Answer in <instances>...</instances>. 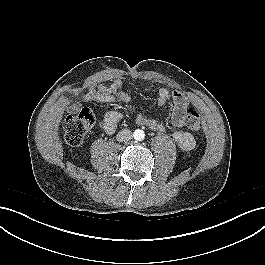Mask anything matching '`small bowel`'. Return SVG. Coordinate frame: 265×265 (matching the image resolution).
Masks as SVG:
<instances>
[{
	"mask_svg": "<svg viewBox=\"0 0 265 265\" xmlns=\"http://www.w3.org/2000/svg\"><path fill=\"white\" fill-rule=\"evenodd\" d=\"M84 102H97V103H129L130 96L123 90V82L120 79H115L110 85L93 84L81 96ZM158 104L162 107L167 104L172 105V112L170 117L171 124L178 128L172 137L177 146L183 151H191L195 146L194 137L181 128L185 124V117L190 105V98L177 90L170 91L167 88H160L158 91ZM77 105L70 106L71 111L77 109ZM121 119V114L117 111L107 113L101 123L102 130L111 134L115 131L118 122ZM136 123L147 127L154 131H164L165 124L162 121L150 118L145 115H138Z\"/></svg>",
	"mask_w": 265,
	"mask_h": 265,
	"instance_id": "1",
	"label": "small bowel"
}]
</instances>
